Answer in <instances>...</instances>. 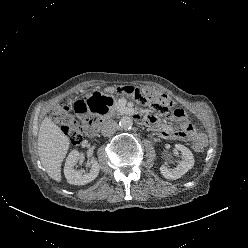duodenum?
<instances>
[{
    "label": "duodenum",
    "instance_id": "410a0bca",
    "mask_svg": "<svg viewBox=\"0 0 248 248\" xmlns=\"http://www.w3.org/2000/svg\"><path fill=\"white\" fill-rule=\"evenodd\" d=\"M131 116L137 120V121H140V122H143V121H147L146 118L139 112H136V111H133V112H130ZM107 118L105 119H100V118H97L96 116H94L87 124L86 126V135L88 137H93L95 136V134L97 133L98 131V128L100 126V124L105 121Z\"/></svg>",
    "mask_w": 248,
    "mask_h": 248
}]
</instances>
